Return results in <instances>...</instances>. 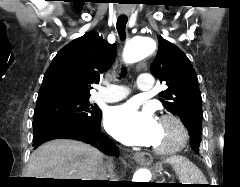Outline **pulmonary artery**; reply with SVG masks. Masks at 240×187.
Masks as SVG:
<instances>
[{"instance_id":"e3ab8cb5","label":"pulmonary artery","mask_w":240,"mask_h":187,"mask_svg":"<svg viewBox=\"0 0 240 187\" xmlns=\"http://www.w3.org/2000/svg\"><path fill=\"white\" fill-rule=\"evenodd\" d=\"M137 84L141 91H151L154 87V80L150 74H140L137 79ZM129 93L126 86L110 85L103 93L94 96V100L112 103L126 98Z\"/></svg>"}]
</instances>
